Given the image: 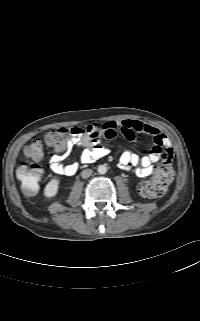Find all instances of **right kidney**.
Wrapping results in <instances>:
<instances>
[{
    "label": "right kidney",
    "instance_id": "obj_1",
    "mask_svg": "<svg viewBox=\"0 0 200 321\" xmlns=\"http://www.w3.org/2000/svg\"><path fill=\"white\" fill-rule=\"evenodd\" d=\"M58 188H59V180L58 179H52L45 187L44 189V195L47 198H51L54 197L57 192H58Z\"/></svg>",
    "mask_w": 200,
    "mask_h": 321
}]
</instances>
